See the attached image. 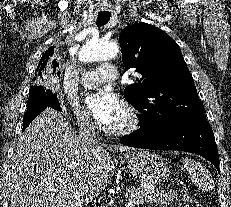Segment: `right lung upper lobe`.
Wrapping results in <instances>:
<instances>
[{
  "label": "right lung upper lobe",
  "instance_id": "obj_1",
  "mask_svg": "<svg viewBox=\"0 0 231 207\" xmlns=\"http://www.w3.org/2000/svg\"><path fill=\"white\" fill-rule=\"evenodd\" d=\"M54 53V47H50L42 56V58L39 61V64L36 68L35 71V78H39V76H41L43 74V72L45 71L46 65L49 63L50 57L53 55Z\"/></svg>",
  "mask_w": 231,
  "mask_h": 207
}]
</instances>
